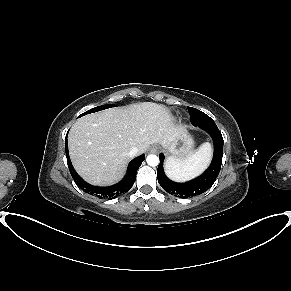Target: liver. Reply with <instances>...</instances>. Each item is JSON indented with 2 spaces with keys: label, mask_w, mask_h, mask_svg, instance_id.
<instances>
[{
  "label": "liver",
  "mask_w": 291,
  "mask_h": 291,
  "mask_svg": "<svg viewBox=\"0 0 291 291\" xmlns=\"http://www.w3.org/2000/svg\"><path fill=\"white\" fill-rule=\"evenodd\" d=\"M161 104L142 102L112 108L78 119L68 135L69 154L74 168L93 185L118 181L130 161L128 152L144 153L151 144L168 148L184 134Z\"/></svg>",
  "instance_id": "1"
}]
</instances>
